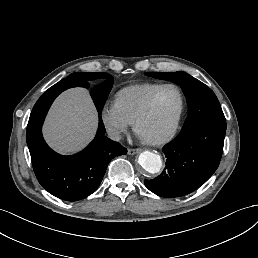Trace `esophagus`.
Instances as JSON below:
<instances>
[{"mask_svg":"<svg viewBox=\"0 0 258 258\" xmlns=\"http://www.w3.org/2000/svg\"><path fill=\"white\" fill-rule=\"evenodd\" d=\"M140 152H141L140 148L128 149V154H130V155H134V154H137V153H140Z\"/></svg>","mask_w":258,"mask_h":258,"instance_id":"34e87169","label":"esophagus"}]
</instances>
